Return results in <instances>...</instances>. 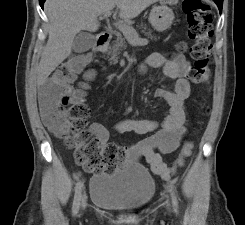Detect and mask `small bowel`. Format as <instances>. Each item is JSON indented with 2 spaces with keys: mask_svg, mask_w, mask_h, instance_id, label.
Segmentation results:
<instances>
[{
  "mask_svg": "<svg viewBox=\"0 0 245 225\" xmlns=\"http://www.w3.org/2000/svg\"><path fill=\"white\" fill-rule=\"evenodd\" d=\"M149 67H163L164 75L174 81L173 89L156 90V97L166 102L168 114L161 121L148 118H124L116 123L114 130L121 133L148 135L127 147V158L132 162H145L157 174L153 167L154 160H161L160 154L174 152L190 127L185 107V101L191 92V83L188 79L190 63L181 53L169 57L164 52H153L139 64L137 73L143 75ZM84 87L88 86L84 85ZM38 99L42 106L44 123L54 126L56 124L55 99L45 91L39 93ZM90 130L101 146L108 143L110 131L102 123L93 122Z\"/></svg>",
  "mask_w": 245,
  "mask_h": 225,
  "instance_id": "small-bowel-1",
  "label": "small bowel"
}]
</instances>
